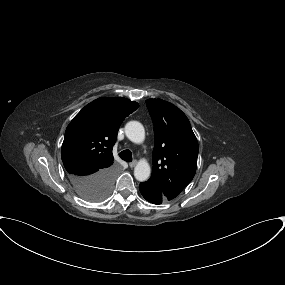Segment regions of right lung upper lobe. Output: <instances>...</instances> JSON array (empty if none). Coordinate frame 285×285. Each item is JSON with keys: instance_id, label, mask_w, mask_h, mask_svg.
<instances>
[{"instance_id": "cb5924a9", "label": "right lung upper lobe", "mask_w": 285, "mask_h": 285, "mask_svg": "<svg viewBox=\"0 0 285 285\" xmlns=\"http://www.w3.org/2000/svg\"><path fill=\"white\" fill-rule=\"evenodd\" d=\"M138 103L123 97H101L86 105L70 122L61 148L66 171L77 174L110 167L120 124Z\"/></svg>"}]
</instances>
